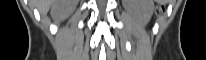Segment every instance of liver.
Wrapping results in <instances>:
<instances>
[{"label":"liver","instance_id":"6515ba94","mask_svg":"<svg viewBox=\"0 0 206 60\" xmlns=\"http://www.w3.org/2000/svg\"><path fill=\"white\" fill-rule=\"evenodd\" d=\"M77 2L78 0H38L37 7L42 15H45L52 7V17L60 22L71 14Z\"/></svg>","mask_w":206,"mask_h":60}]
</instances>
